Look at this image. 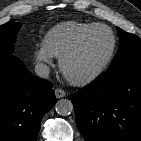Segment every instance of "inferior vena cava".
Masks as SVG:
<instances>
[{"label": "inferior vena cava", "instance_id": "602c4592", "mask_svg": "<svg viewBox=\"0 0 141 141\" xmlns=\"http://www.w3.org/2000/svg\"><path fill=\"white\" fill-rule=\"evenodd\" d=\"M35 73L41 78H47L50 73V68L44 63H37L35 65Z\"/></svg>", "mask_w": 141, "mask_h": 141}]
</instances>
